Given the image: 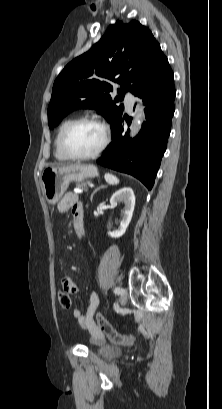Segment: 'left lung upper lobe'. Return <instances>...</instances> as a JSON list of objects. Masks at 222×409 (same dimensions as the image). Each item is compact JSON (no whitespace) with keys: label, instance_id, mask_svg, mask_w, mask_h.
<instances>
[{"label":"left lung upper lobe","instance_id":"1","mask_svg":"<svg viewBox=\"0 0 222 409\" xmlns=\"http://www.w3.org/2000/svg\"><path fill=\"white\" fill-rule=\"evenodd\" d=\"M170 69L151 31L138 21L110 25L92 48L72 60L56 78L48 107L49 127L56 126L78 108L96 109L113 125L122 115L116 102L127 91L137 95ZM111 82L120 84L119 97L109 93Z\"/></svg>","mask_w":222,"mask_h":409}]
</instances>
